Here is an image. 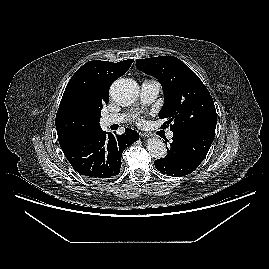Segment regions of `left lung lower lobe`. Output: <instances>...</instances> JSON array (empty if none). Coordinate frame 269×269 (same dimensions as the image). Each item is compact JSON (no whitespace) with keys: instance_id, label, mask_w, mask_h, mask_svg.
Listing matches in <instances>:
<instances>
[{"instance_id":"obj_1","label":"left lung lower lobe","mask_w":269,"mask_h":269,"mask_svg":"<svg viewBox=\"0 0 269 269\" xmlns=\"http://www.w3.org/2000/svg\"><path fill=\"white\" fill-rule=\"evenodd\" d=\"M165 158L155 160V167L168 176L192 173L206 157L214 135L206 132L174 134Z\"/></svg>"}]
</instances>
